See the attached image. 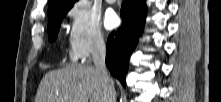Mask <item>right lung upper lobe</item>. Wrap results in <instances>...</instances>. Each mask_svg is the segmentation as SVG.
I'll return each instance as SVG.
<instances>
[{
  "instance_id": "right-lung-upper-lobe-1",
  "label": "right lung upper lobe",
  "mask_w": 221,
  "mask_h": 102,
  "mask_svg": "<svg viewBox=\"0 0 221 102\" xmlns=\"http://www.w3.org/2000/svg\"><path fill=\"white\" fill-rule=\"evenodd\" d=\"M76 0H49L48 18L50 19L57 12L71 8Z\"/></svg>"
}]
</instances>
